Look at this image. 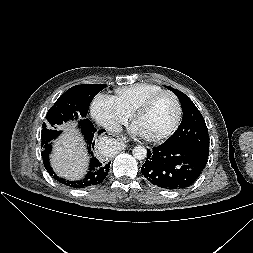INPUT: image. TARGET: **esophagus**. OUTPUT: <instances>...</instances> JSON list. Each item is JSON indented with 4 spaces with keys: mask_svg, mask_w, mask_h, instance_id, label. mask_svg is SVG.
Returning a JSON list of instances; mask_svg holds the SVG:
<instances>
[{
    "mask_svg": "<svg viewBox=\"0 0 253 253\" xmlns=\"http://www.w3.org/2000/svg\"><path fill=\"white\" fill-rule=\"evenodd\" d=\"M116 139H117V140H125V137L122 136V135H118V136H116Z\"/></svg>",
    "mask_w": 253,
    "mask_h": 253,
    "instance_id": "1",
    "label": "esophagus"
}]
</instances>
